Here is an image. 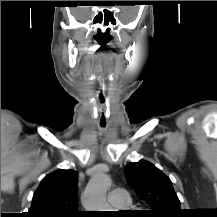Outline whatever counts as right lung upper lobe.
Here are the masks:
<instances>
[{"mask_svg": "<svg viewBox=\"0 0 217 217\" xmlns=\"http://www.w3.org/2000/svg\"><path fill=\"white\" fill-rule=\"evenodd\" d=\"M77 172L60 169L47 175L32 199L27 217L78 216Z\"/></svg>", "mask_w": 217, "mask_h": 217, "instance_id": "obj_1", "label": "right lung upper lobe"}]
</instances>
